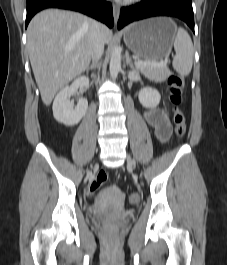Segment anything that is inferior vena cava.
Wrapping results in <instances>:
<instances>
[{"instance_id":"1","label":"inferior vena cava","mask_w":227,"mask_h":265,"mask_svg":"<svg viewBox=\"0 0 227 265\" xmlns=\"http://www.w3.org/2000/svg\"><path fill=\"white\" fill-rule=\"evenodd\" d=\"M101 24L97 21H93V27L90 34L91 41V57L93 63L98 62V60L103 55L104 51V40L100 31Z\"/></svg>"}]
</instances>
